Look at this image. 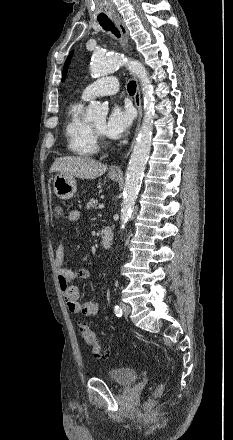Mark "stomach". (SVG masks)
<instances>
[{"mask_svg": "<svg viewBox=\"0 0 233 440\" xmlns=\"http://www.w3.org/2000/svg\"><path fill=\"white\" fill-rule=\"evenodd\" d=\"M109 178L113 181H118L120 175L109 174ZM76 190V180L73 176L58 173L53 178V191L58 198L62 200L71 199L75 195Z\"/></svg>", "mask_w": 233, "mask_h": 440, "instance_id": "stomach-1", "label": "stomach"}]
</instances>
